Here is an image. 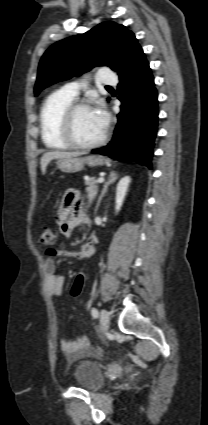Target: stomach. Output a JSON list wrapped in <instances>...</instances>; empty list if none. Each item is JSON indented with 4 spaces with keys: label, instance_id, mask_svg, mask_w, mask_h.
Here are the masks:
<instances>
[{
    "label": "stomach",
    "instance_id": "1",
    "mask_svg": "<svg viewBox=\"0 0 208 425\" xmlns=\"http://www.w3.org/2000/svg\"><path fill=\"white\" fill-rule=\"evenodd\" d=\"M107 162L108 160L102 156L92 155L83 158L73 157L58 159L57 167L65 173H76L81 171L85 164L91 167H96L104 165Z\"/></svg>",
    "mask_w": 208,
    "mask_h": 425
}]
</instances>
